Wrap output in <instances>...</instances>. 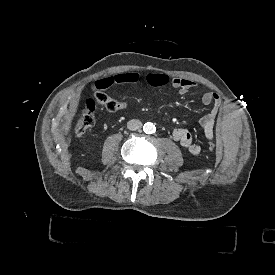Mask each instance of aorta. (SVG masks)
<instances>
[{"mask_svg": "<svg viewBox=\"0 0 275 275\" xmlns=\"http://www.w3.org/2000/svg\"><path fill=\"white\" fill-rule=\"evenodd\" d=\"M155 130H156V127L152 122H147L143 126V131L146 134H153L155 132Z\"/></svg>", "mask_w": 275, "mask_h": 275, "instance_id": "aorta-1", "label": "aorta"}]
</instances>
